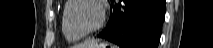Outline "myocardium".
Wrapping results in <instances>:
<instances>
[{"label": "myocardium", "mask_w": 213, "mask_h": 48, "mask_svg": "<svg viewBox=\"0 0 213 48\" xmlns=\"http://www.w3.org/2000/svg\"><path fill=\"white\" fill-rule=\"evenodd\" d=\"M80 1L91 2V3L95 4L100 11V19H99L97 25L94 28L87 30V31H79V30L75 29L72 26L70 19H69V14H70L74 4H76L77 2H80ZM105 19H106L105 6H104L103 2L99 1V0H69L67 3V6H66V11L64 13V23H65L68 31L71 34L78 36L80 38H83V37H86V36H89V35H92V34L98 32L104 25Z\"/></svg>", "instance_id": "myocardium-1"}]
</instances>
